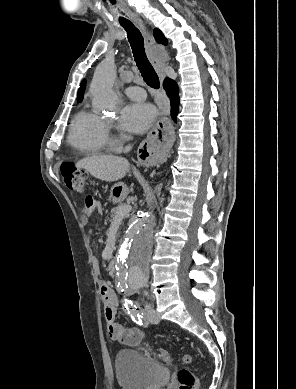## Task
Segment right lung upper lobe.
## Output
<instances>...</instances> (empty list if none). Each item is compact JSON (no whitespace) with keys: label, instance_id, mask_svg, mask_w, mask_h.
Here are the masks:
<instances>
[{"label":"right lung upper lobe","instance_id":"1","mask_svg":"<svg viewBox=\"0 0 296 389\" xmlns=\"http://www.w3.org/2000/svg\"><path fill=\"white\" fill-rule=\"evenodd\" d=\"M154 37H155V40L158 42V43H161V44H164V45H167L168 43V40L164 37L163 33L159 30V29H155L154 30V33H153ZM84 89H85V81H83L81 83V86L78 90V94H77V99L78 101H81L82 98H83V93H84Z\"/></svg>","mask_w":296,"mask_h":389}]
</instances>
